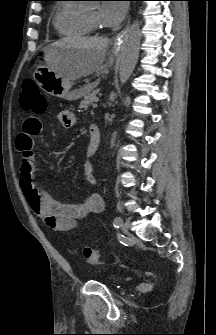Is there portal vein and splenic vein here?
Returning <instances> with one entry per match:
<instances>
[{"instance_id":"1","label":"portal vein and splenic vein","mask_w":216,"mask_h":335,"mask_svg":"<svg viewBox=\"0 0 216 335\" xmlns=\"http://www.w3.org/2000/svg\"><path fill=\"white\" fill-rule=\"evenodd\" d=\"M98 99L95 100V103L92 105L93 108H97L98 107Z\"/></svg>"}]
</instances>
